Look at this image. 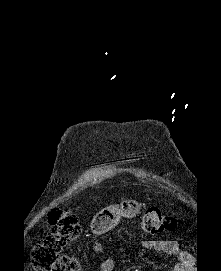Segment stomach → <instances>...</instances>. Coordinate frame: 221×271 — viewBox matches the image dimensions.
<instances>
[{
  "instance_id": "0dacf381",
  "label": "stomach",
  "mask_w": 221,
  "mask_h": 271,
  "mask_svg": "<svg viewBox=\"0 0 221 271\" xmlns=\"http://www.w3.org/2000/svg\"><path fill=\"white\" fill-rule=\"evenodd\" d=\"M135 213H139V205H131V203H127L126 207H124L123 203L121 205H109V207H104L94 215L90 227L93 233L101 235V233L115 227L122 215L124 217H133Z\"/></svg>"
}]
</instances>
